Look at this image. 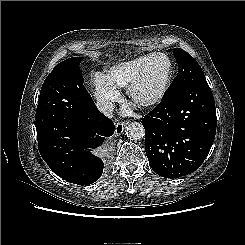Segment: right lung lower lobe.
Returning a JSON list of instances; mask_svg holds the SVG:
<instances>
[{
	"mask_svg": "<svg viewBox=\"0 0 245 245\" xmlns=\"http://www.w3.org/2000/svg\"><path fill=\"white\" fill-rule=\"evenodd\" d=\"M113 122L93 103L87 116L36 120L38 149L50 169L66 181L89 185L103 172V161L90 153L113 135Z\"/></svg>",
	"mask_w": 245,
	"mask_h": 245,
	"instance_id": "1",
	"label": "right lung lower lobe"
}]
</instances>
